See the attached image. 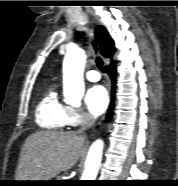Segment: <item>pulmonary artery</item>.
<instances>
[{
	"label": "pulmonary artery",
	"instance_id": "obj_1",
	"mask_svg": "<svg viewBox=\"0 0 178 186\" xmlns=\"http://www.w3.org/2000/svg\"><path fill=\"white\" fill-rule=\"evenodd\" d=\"M85 76L89 81H93V82L98 81L100 79L99 73L95 70L87 71Z\"/></svg>",
	"mask_w": 178,
	"mask_h": 186
}]
</instances>
